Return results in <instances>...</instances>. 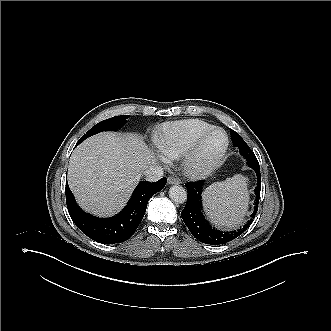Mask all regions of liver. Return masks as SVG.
Masks as SVG:
<instances>
[{"label":"liver","mask_w":331,"mask_h":331,"mask_svg":"<svg viewBox=\"0 0 331 331\" xmlns=\"http://www.w3.org/2000/svg\"><path fill=\"white\" fill-rule=\"evenodd\" d=\"M155 164V154L142 137L102 132L86 139L73 152L68 184L81 208L108 217L125 206L141 173Z\"/></svg>","instance_id":"6515ba94"}]
</instances>
